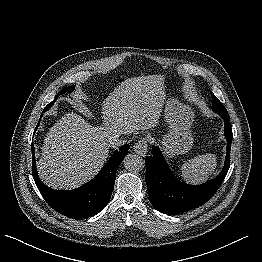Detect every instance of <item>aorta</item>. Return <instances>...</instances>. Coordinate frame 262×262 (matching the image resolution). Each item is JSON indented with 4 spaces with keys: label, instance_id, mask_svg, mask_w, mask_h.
<instances>
[{
    "label": "aorta",
    "instance_id": "aorta-1",
    "mask_svg": "<svg viewBox=\"0 0 262 262\" xmlns=\"http://www.w3.org/2000/svg\"><path fill=\"white\" fill-rule=\"evenodd\" d=\"M123 165L129 171H138L144 167V161L139 155L128 154L123 160Z\"/></svg>",
    "mask_w": 262,
    "mask_h": 262
}]
</instances>
